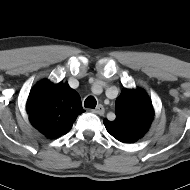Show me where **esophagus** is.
I'll return each mask as SVG.
<instances>
[{"instance_id":"obj_1","label":"esophagus","mask_w":190,"mask_h":190,"mask_svg":"<svg viewBox=\"0 0 190 190\" xmlns=\"http://www.w3.org/2000/svg\"><path fill=\"white\" fill-rule=\"evenodd\" d=\"M91 112L102 116L105 113V109L103 105L99 104L95 109H92Z\"/></svg>"}]
</instances>
